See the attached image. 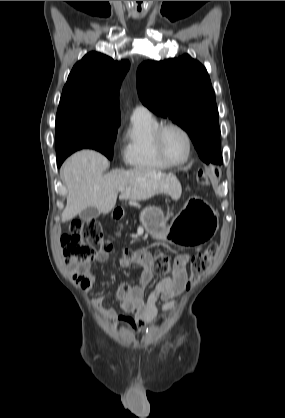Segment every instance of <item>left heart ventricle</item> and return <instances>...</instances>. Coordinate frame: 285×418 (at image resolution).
<instances>
[{"instance_id": "left-heart-ventricle-1", "label": "left heart ventricle", "mask_w": 285, "mask_h": 418, "mask_svg": "<svg viewBox=\"0 0 285 418\" xmlns=\"http://www.w3.org/2000/svg\"><path fill=\"white\" fill-rule=\"evenodd\" d=\"M162 145L171 161L180 162L186 157L187 142L183 134L177 129L169 128L164 132Z\"/></svg>"}]
</instances>
